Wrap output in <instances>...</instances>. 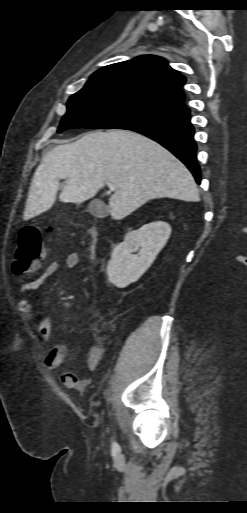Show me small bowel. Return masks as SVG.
<instances>
[{
    "instance_id": "obj_1",
    "label": "small bowel",
    "mask_w": 247,
    "mask_h": 513,
    "mask_svg": "<svg viewBox=\"0 0 247 513\" xmlns=\"http://www.w3.org/2000/svg\"><path fill=\"white\" fill-rule=\"evenodd\" d=\"M80 257L76 252H70L65 257V266L68 269H75L79 266ZM59 263L57 260H52L44 271L35 279L28 282L20 291V297L18 300V310L23 314L29 321L34 323L37 333L42 339L48 341L51 338V324L49 320L44 318H38L37 315L32 311L30 302V294L39 288L43 283L46 282L52 275L58 270ZM68 353L67 347L64 344H56L53 346L51 351L44 359L45 366L50 370L59 369L65 361ZM102 351L99 346H91L85 357V365L89 371H94L100 360ZM61 381L64 386L68 388L83 389L89 382L88 380H82L72 372H64L61 375Z\"/></svg>"
}]
</instances>
